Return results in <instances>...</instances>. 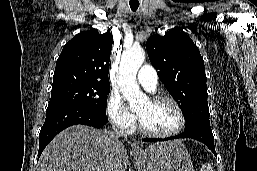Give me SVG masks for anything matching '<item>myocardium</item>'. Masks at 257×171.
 <instances>
[{
	"mask_svg": "<svg viewBox=\"0 0 257 171\" xmlns=\"http://www.w3.org/2000/svg\"><path fill=\"white\" fill-rule=\"evenodd\" d=\"M150 102H152V103L166 102V103L171 104L177 112L178 125L173 130L168 131V132L153 131V130L148 129L143 124L140 116L137 114V126H138V129L143 134H146V135H149L152 137H156V138H169V137H173V136L179 134L183 130L185 123H186L185 114H184L181 106L178 104V102L176 100H174L172 97H169L166 95H156L150 99Z\"/></svg>",
	"mask_w": 257,
	"mask_h": 171,
	"instance_id": "obj_1",
	"label": "myocardium"
}]
</instances>
